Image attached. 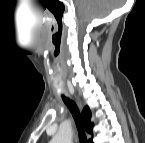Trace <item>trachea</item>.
<instances>
[{
	"label": "trachea",
	"mask_w": 145,
	"mask_h": 143,
	"mask_svg": "<svg viewBox=\"0 0 145 143\" xmlns=\"http://www.w3.org/2000/svg\"><path fill=\"white\" fill-rule=\"evenodd\" d=\"M62 99H63L64 103L67 105L68 109L70 110V112L75 120L77 130L79 133L80 143H88L84 128H83L81 120H80V114H79V109H78L77 105L72 100H70L69 98H67L65 96H62Z\"/></svg>",
	"instance_id": "obj_1"
}]
</instances>
